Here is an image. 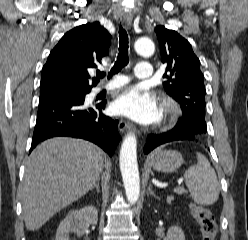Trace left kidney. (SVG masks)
Here are the masks:
<instances>
[{
	"mask_svg": "<svg viewBox=\"0 0 248 240\" xmlns=\"http://www.w3.org/2000/svg\"><path fill=\"white\" fill-rule=\"evenodd\" d=\"M164 240H185V235L180 227L172 226L168 229L167 236Z\"/></svg>",
	"mask_w": 248,
	"mask_h": 240,
	"instance_id": "5707ae66",
	"label": "left kidney"
}]
</instances>
